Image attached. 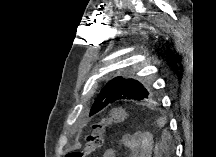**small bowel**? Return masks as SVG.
<instances>
[{
	"label": "small bowel",
	"mask_w": 216,
	"mask_h": 157,
	"mask_svg": "<svg viewBox=\"0 0 216 157\" xmlns=\"http://www.w3.org/2000/svg\"><path fill=\"white\" fill-rule=\"evenodd\" d=\"M118 144L130 151L131 157H151L154 148V138L150 132H137L123 135L118 139ZM115 149L107 148L103 157H115Z\"/></svg>",
	"instance_id": "1"
}]
</instances>
